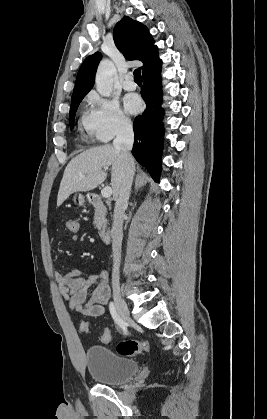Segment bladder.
Listing matches in <instances>:
<instances>
[{
  "instance_id": "bladder-1",
  "label": "bladder",
  "mask_w": 267,
  "mask_h": 419,
  "mask_svg": "<svg viewBox=\"0 0 267 419\" xmlns=\"http://www.w3.org/2000/svg\"><path fill=\"white\" fill-rule=\"evenodd\" d=\"M86 369L99 384L115 386L125 382L138 372L135 360L117 355L110 349L93 345L85 352Z\"/></svg>"
}]
</instances>
